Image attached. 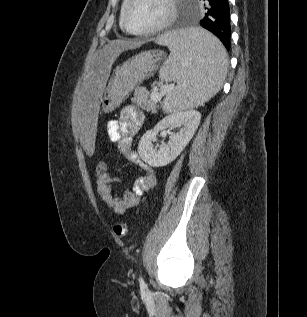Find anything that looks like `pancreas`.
Segmentation results:
<instances>
[{
    "instance_id": "obj_1",
    "label": "pancreas",
    "mask_w": 307,
    "mask_h": 317,
    "mask_svg": "<svg viewBox=\"0 0 307 317\" xmlns=\"http://www.w3.org/2000/svg\"><path fill=\"white\" fill-rule=\"evenodd\" d=\"M139 91H140L139 93L142 95L144 106L146 107V110L154 112L156 110L155 101L147 99L149 94L145 90H139Z\"/></svg>"
}]
</instances>
